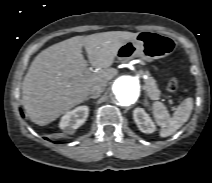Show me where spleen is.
Masks as SVG:
<instances>
[{
    "instance_id": "spleen-1",
    "label": "spleen",
    "mask_w": 212,
    "mask_h": 183,
    "mask_svg": "<svg viewBox=\"0 0 212 183\" xmlns=\"http://www.w3.org/2000/svg\"><path fill=\"white\" fill-rule=\"evenodd\" d=\"M193 109V99L186 98L176 109L171 117L165 105L155 102L152 112L156 123L161 127L160 136L168 137L175 133L190 117Z\"/></svg>"
}]
</instances>
